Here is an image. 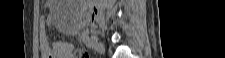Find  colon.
<instances>
[{
	"label": "colon",
	"instance_id": "1",
	"mask_svg": "<svg viewBox=\"0 0 225 58\" xmlns=\"http://www.w3.org/2000/svg\"><path fill=\"white\" fill-rule=\"evenodd\" d=\"M75 58H90V53L87 50L80 48L75 52Z\"/></svg>",
	"mask_w": 225,
	"mask_h": 58
}]
</instances>
